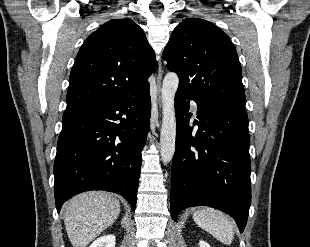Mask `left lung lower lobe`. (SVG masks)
Wrapping results in <instances>:
<instances>
[{
	"mask_svg": "<svg viewBox=\"0 0 310 247\" xmlns=\"http://www.w3.org/2000/svg\"><path fill=\"white\" fill-rule=\"evenodd\" d=\"M197 103L198 130L189 126V102ZM176 150L171 173V216L210 206L231 215L243 232L251 205L248 116L245 110L198 100L177 90Z\"/></svg>",
	"mask_w": 310,
	"mask_h": 247,
	"instance_id": "0a47b994",
	"label": "left lung lower lobe"
}]
</instances>
